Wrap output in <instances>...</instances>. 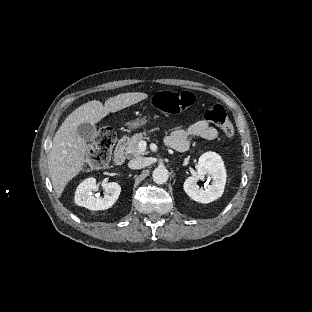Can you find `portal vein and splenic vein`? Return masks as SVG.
Returning <instances> with one entry per match:
<instances>
[{
    "instance_id": "18ae733b",
    "label": "portal vein and splenic vein",
    "mask_w": 312,
    "mask_h": 312,
    "mask_svg": "<svg viewBox=\"0 0 312 312\" xmlns=\"http://www.w3.org/2000/svg\"><path fill=\"white\" fill-rule=\"evenodd\" d=\"M146 146H147V144H146V141H144V140H141V141L139 142V144H138V147H139V149H140L141 151H144V150L146 149Z\"/></svg>"
}]
</instances>
